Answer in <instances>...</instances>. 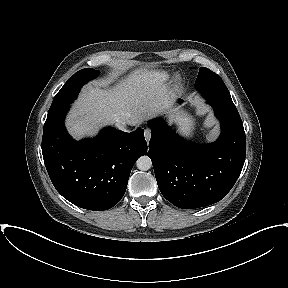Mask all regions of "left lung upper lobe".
<instances>
[{"label":"left lung upper lobe","instance_id":"obj_1","mask_svg":"<svg viewBox=\"0 0 288 288\" xmlns=\"http://www.w3.org/2000/svg\"><path fill=\"white\" fill-rule=\"evenodd\" d=\"M205 99L234 107L230 93L221 77L208 68L201 67L195 82Z\"/></svg>","mask_w":288,"mask_h":288}]
</instances>
